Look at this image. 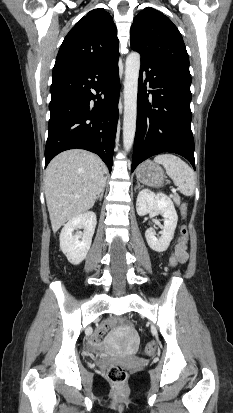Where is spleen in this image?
<instances>
[{"mask_svg":"<svg viewBox=\"0 0 233 413\" xmlns=\"http://www.w3.org/2000/svg\"><path fill=\"white\" fill-rule=\"evenodd\" d=\"M154 161L166 169L167 175L173 180L183 195H193L195 190V174L188 164L171 154L158 155L154 158Z\"/></svg>","mask_w":233,"mask_h":413,"instance_id":"3e777b00","label":"spleen"}]
</instances>
